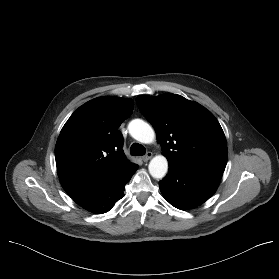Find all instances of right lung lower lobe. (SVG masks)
I'll return each mask as SVG.
<instances>
[{
  "label": "right lung lower lobe",
  "instance_id": "98d812e1",
  "mask_svg": "<svg viewBox=\"0 0 279 279\" xmlns=\"http://www.w3.org/2000/svg\"><path fill=\"white\" fill-rule=\"evenodd\" d=\"M137 168L138 166L111 185L73 200L90 212L96 214L108 212L124 196V186L129 182Z\"/></svg>",
  "mask_w": 279,
  "mask_h": 279
}]
</instances>
